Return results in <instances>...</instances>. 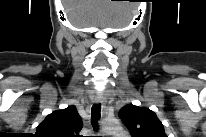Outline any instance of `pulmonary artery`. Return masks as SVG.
I'll use <instances>...</instances> for the list:
<instances>
[{"label":"pulmonary artery","mask_w":206,"mask_h":137,"mask_svg":"<svg viewBox=\"0 0 206 137\" xmlns=\"http://www.w3.org/2000/svg\"><path fill=\"white\" fill-rule=\"evenodd\" d=\"M115 137H127L124 132H118Z\"/></svg>","instance_id":"obj_1"}]
</instances>
